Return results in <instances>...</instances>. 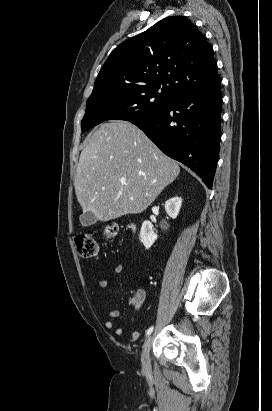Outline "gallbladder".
Returning a JSON list of instances; mask_svg holds the SVG:
<instances>
[{"instance_id":"gallbladder-1","label":"gallbladder","mask_w":272,"mask_h":411,"mask_svg":"<svg viewBox=\"0 0 272 411\" xmlns=\"http://www.w3.org/2000/svg\"><path fill=\"white\" fill-rule=\"evenodd\" d=\"M80 222L83 226L87 227V226L95 224L97 220L93 213L86 212L80 216Z\"/></svg>"}]
</instances>
